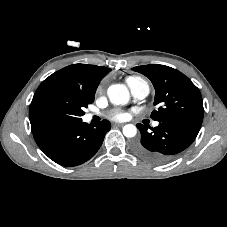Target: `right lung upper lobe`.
<instances>
[{
	"label": "right lung upper lobe",
	"mask_w": 227,
	"mask_h": 227,
	"mask_svg": "<svg viewBox=\"0 0 227 227\" xmlns=\"http://www.w3.org/2000/svg\"><path fill=\"white\" fill-rule=\"evenodd\" d=\"M110 70L96 65L73 64L53 73L47 79L65 83L87 95H95L99 82Z\"/></svg>",
	"instance_id": "right-lung-upper-lobe-1"
}]
</instances>
